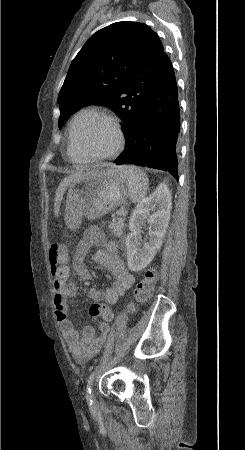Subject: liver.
<instances>
[{"label": "liver", "instance_id": "obj_1", "mask_svg": "<svg viewBox=\"0 0 245 450\" xmlns=\"http://www.w3.org/2000/svg\"><path fill=\"white\" fill-rule=\"evenodd\" d=\"M90 171L88 172H80L77 174H72L69 175L67 177H65L61 183L59 184L57 190H56V197H55V206H54V211H55V215H58L59 209H60V204L61 201L63 199V195L66 191V189L68 188V186L77 178L83 177L87 174H89Z\"/></svg>", "mask_w": 245, "mask_h": 450}]
</instances>
